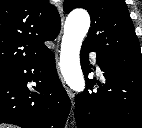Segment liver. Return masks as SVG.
I'll list each match as a JSON object with an SVG mask.
<instances>
[{
  "instance_id": "6515ba94",
  "label": "liver",
  "mask_w": 142,
  "mask_h": 128,
  "mask_svg": "<svg viewBox=\"0 0 142 128\" xmlns=\"http://www.w3.org/2000/svg\"><path fill=\"white\" fill-rule=\"evenodd\" d=\"M0 128H10L8 126L0 125Z\"/></svg>"
}]
</instances>
